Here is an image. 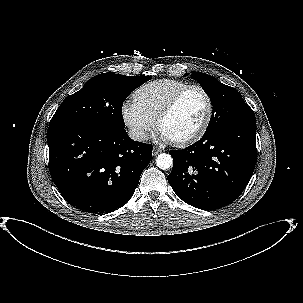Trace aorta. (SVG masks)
I'll use <instances>...</instances> for the list:
<instances>
[{"label": "aorta", "mask_w": 303, "mask_h": 303, "mask_svg": "<svg viewBox=\"0 0 303 303\" xmlns=\"http://www.w3.org/2000/svg\"><path fill=\"white\" fill-rule=\"evenodd\" d=\"M172 164H173V159H172L171 155L166 154V153H161L160 155H158V157L156 159L157 167L162 170L169 169Z\"/></svg>", "instance_id": "aorta-1"}]
</instances>
